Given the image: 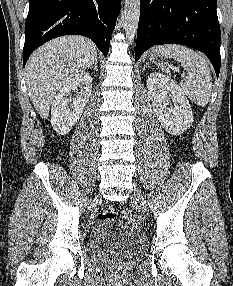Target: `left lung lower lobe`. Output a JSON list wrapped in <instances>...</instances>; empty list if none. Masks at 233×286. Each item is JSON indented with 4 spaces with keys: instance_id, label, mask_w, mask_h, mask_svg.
<instances>
[{
    "instance_id": "obj_1",
    "label": "left lung lower lobe",
    "mask_w": 233,
    "mask_h": 286,
    "mask_svg": "<svg viewBox=\"0 0 233 286\" xmlns=\"http://www.w3.org/2000/svg\"><path fill=\"white\" fill-rule=\"evenodd\" d=\"M140 5L136 61L154 45L183 44L203 52L219 76L217 0H140Z\"/></svg>"
}]
</instances>
